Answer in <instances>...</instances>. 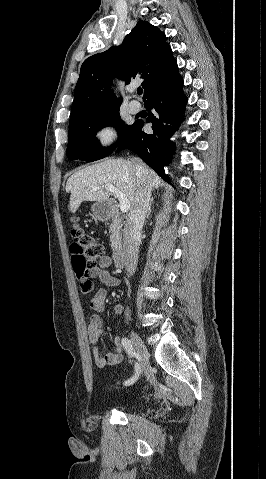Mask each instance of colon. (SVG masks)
Segmentation results:
<instances>
[{
	"label": "colon",
	"instance_id": "obj_1",
	"mask_svg": "<svg viewBox=\"0 0 266 479\" xmlns=\"http://www.w3.org/2000/svg\"><path fill=\"white\" fill-rule=\"evenodd\" d=\"M71 236L74 240L70 246L72 267L78 278L81 291L89 293L93 289L89 271L95 268L97 262L102 258L104 248L98 239L76 221L71 227Z\"/></svg>",
	"mask_w": 266,
	"mask_h": 479
}]
</instances>
